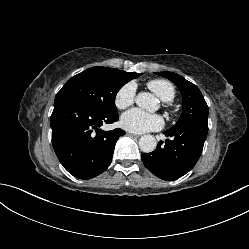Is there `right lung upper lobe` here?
<instances>
[{
    "mask_svg": "<svg viewBox=\"0 0 249 249\" xmlns=\"http://www.w3.org/2000/svg\"><path fill=\"white\" fill-rule=\"evenodd\" d=\"M130 77H132V79L138 77L137 74L138 73H131V72H126Z\"/></svg>",
    "mask_w": 249,
    "mask_h": 249,
    "instance_id": "cb5924a9",
    "label": "right lung upper lobe"
}]
</instances>
